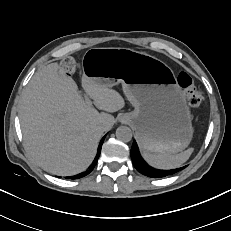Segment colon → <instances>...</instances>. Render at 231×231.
Instances as JSON below:
<instances>
[{"label": "colon", "mask_w": 231, "mask_h": 231, "mask_svg": "<svg viewBox=\"0 0 231 231\" xmlns=\"http://www.w3.org/2000/svg\"><path fill=\"white\" fill-rule=\"evenodd\" d=\"M62 67L67 73H73L75 71V62L72 59H65L62 62ZM178 82L187 94L189 106L193 109L199 108L202 104V96L195 87L192 77L186 72H181L178 76Z\"/></svg>", "instance_id": "colon-1"}]
</instances>
